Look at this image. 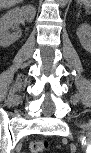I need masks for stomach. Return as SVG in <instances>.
<instances>
[{"label":"stomach","instance_id":"0dacf381","mask_svg":"<svg viewBox=\"0 0 91 153\" xmlns=\"http://www.w3.org/2000/svg\"><path fill=\"white\" fill-rule=\"evenodd\" d=\"M84 3H85V4H89V3H90V1H84Z\"/></svg>","mask_w":91,"mask_h":153}]
</instances>
